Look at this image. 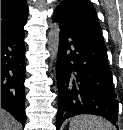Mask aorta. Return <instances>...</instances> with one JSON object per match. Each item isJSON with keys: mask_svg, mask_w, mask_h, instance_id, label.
I'll use <instances>...</instances> for the list:
<instances>
[{"mask_svg": "<svg viewBox=\"0 0 123 130\" xmlns=\"http://www.w3.org/2000/svg\"><path fill=\"white\" fill-rule=\"evenodd\" d=\"M60 39V27L58 22H54L48 34V50L51 54V60L55 61L58 54Z\"/></svg>", "mask_w": 123, "mask_h": 130, "instance_id": "aorta-1", "label": "aorta"}]
</instances>
